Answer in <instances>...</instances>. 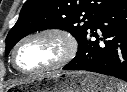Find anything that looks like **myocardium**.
I'll list each match as a JSON object with an SVG mask.
<instances>
[{
	"instance_id": "myocardium-1",
	"label": "myocardium",
	"mask_w": 127,
	"mask_h": 92,
	"mask_svg": "<svg viewBox=\"0 0 127 92\" xmlns=\"http://www.w3.org/2000/svg\"><path fill=\"white\" fill-rule=\"evenodd\" d=\"M41 36H52L59 39L64 45V52L62 56L53 64L43 68H39L35 70L22 69L17 63V55H18V51L20 47L28 40L36 38V37H41ZM77 51H78V42L75 36L71 32L60 27H47V28H42V29L33 31L25 35L23 38H21L18 41V43L16 44L12 52V64L18 71L24 74H39L43 72L57 70L64 67L65 65H67L74 59Z\"/></svg>"
}]
</instances>
